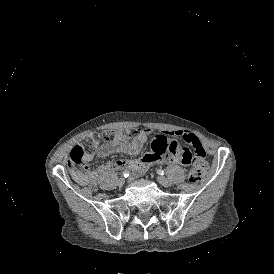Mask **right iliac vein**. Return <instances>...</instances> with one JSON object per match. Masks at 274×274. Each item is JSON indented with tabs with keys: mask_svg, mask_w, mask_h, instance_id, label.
Here are the masks:
<instances>
[{
	"mask_svg": "<svg viewBox=\"0 0 274 274\" xmlns=\"http://www.w3.org/2000/svg\"><path fill=\"white\" fill-rule=\"evenodd\" d=\"M125 184V179L124 178H119L118 179V185L123 186Z\"/></svg>",
	"mask_w": 274,
	"mask_h": 274,
	"instance_id": "right-iliac-vein-1",
	"label": "right iliac vein"
}]
</instances>
